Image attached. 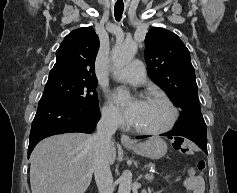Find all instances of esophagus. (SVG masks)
<instances>
[{"mask_svg": "<svg viewBox=\"0 0 237 193\" xmlns=\"http://www.w3.org/2000/svg\"><path fill=\"white\" fill-rule=\"evenodd\" d=\"M121 143L123 145H134L135 142L126 134L121 135Z\"/></svg>", "mask_w": 237, "mask_h": 193, "instance_id": "34e87169", "label": "esophagus"}]
</instances>
